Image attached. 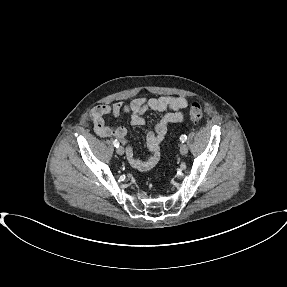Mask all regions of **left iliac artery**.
Returning <instances> with one entry per match:
<instances>
[{
  "label": "left iliac artery",
  "instance_id": "44dca946",
  "mask_svg": "<svg viewBox=\"0 0 287 287\" xmlns=\"http://www.w3.org/2000/svg\"><path fill=\"white\" fill-rule=\"evenodd\" d=\"M186 139H187V136H186V135H182V136L180 137V141H181V142H185Z\"/></svg>",
  "mask_w": 287,
  "mask_h": 287
}]
</instances>
